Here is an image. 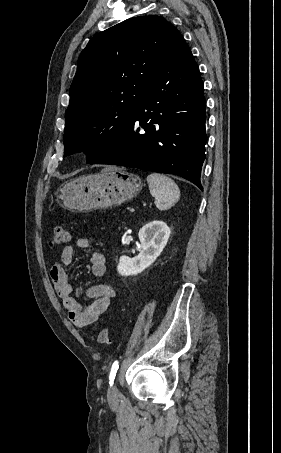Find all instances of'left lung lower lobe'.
<instances>
[{
	"instance_id": "obj_1",
	"label": "left lung lower lobe",
	"mask_w": 281,
	"mask_h": 453,
	"mask_svg": "<svg viewBox=\"0 0 281 453\" xmlns=\"http://www.w3.org/2000/svg\"><path fill=\"white\" fill-rule=\"evenodd\" d=\"M205 106L199 68L179 33L129 125L94 164L175 174L202 190Z\"/></svg>"
}]
</instances>
